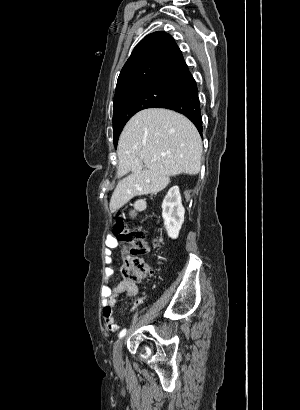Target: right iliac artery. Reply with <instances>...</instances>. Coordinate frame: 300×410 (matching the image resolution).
Segmentation results:
<instances>
[{"instance_id":"obj_1","label":"right iliac artery","mask_w":300,"mask_h":410,"mask_svg":"<svg viewBox=\"0 0 300 410\" xmlns=\"http://www.w3.org/2000/svg\"><path fill=\"white\" fill-rule=\"evenodd\" d=\"M126 329H123L121 332H120V334H119V338H122V337H124L125 336V334H126Z\"/></svg>"}]
</instances>
